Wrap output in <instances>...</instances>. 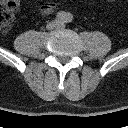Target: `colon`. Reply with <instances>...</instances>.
<instances>
[{
	"instance_id": "5ec220e1",
	"label": "colon",
	"mask_w": 128,
	"mask_h": 128,
	"mask_svg": "<svg viewBox=\"0 0 128 128\" xmlns=\"http://www.w3.org/2000/svg\"><path fill=\"white\" fill-rule=\"evenodd\" d=\"M16 8L17 0H0V30H8L12 27Z\"/></svg>"
}]
</instances>
